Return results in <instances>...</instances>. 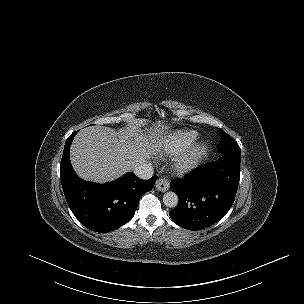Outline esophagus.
Wrapping results in <instances>:
<instances>
[{"label":"esophagus","mask_w":304,"mask_h":304,"mask_svg":"<svg viewBox=\"0 0 304 304\" xmlns=\"http://www.w3.org/2000/svg\"><path fill=\"white\" fill-rule=\"evenodd\" d=\"M155 188L158 191L165 192L169 189V183L167 182V180H165L163 178H159L155 183Z\"/></svg>","instance_id":"1"}]
</instances>
